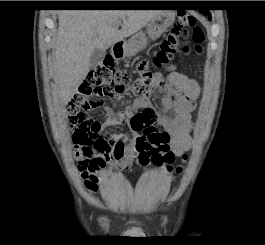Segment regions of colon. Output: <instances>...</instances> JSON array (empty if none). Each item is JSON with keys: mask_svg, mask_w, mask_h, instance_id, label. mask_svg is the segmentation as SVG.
<instances>
[{"mask_svg": "<svg viewBox=\"0 0 265 245\" xmlns=\"http://www.w3.org/2000/svg\"><path fill=\"white\" fill-rule=\"evenodd\" d=\"M204 37L197 26L196 18L181 13L172 28L170 36L163 41L152 61L142 60L136 72L119 70L112 57H108L91 70L80 92L68 103L66 113L74 128V138L82 146L108 150L116 155L123 154L125 146L120 141L99 132L98 121L88 114L95 106L93 97H117L131 89L134 94L147 97L154 93L156 76L152 67L166 65L176 55L187 57L199 52ZM136 73V74H135ZM156 118L151 113L140 111L129 120V126L138 137L134 153L139 166L165 167L168 171L180 173V167H173L175 155L169 147L170 135L155 125Z\"/></svg>", "mask_w": 265, "mask_h": 245, "instance_id": "obj_1", "label": "colon"}]
</instances>
